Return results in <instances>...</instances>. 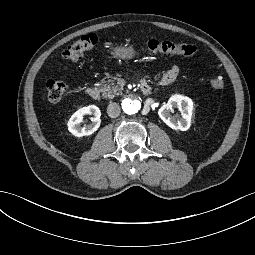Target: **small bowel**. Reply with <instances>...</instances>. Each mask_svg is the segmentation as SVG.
Instances as JSON below:
<instances>
[{
  "mask_svg": "<svg viewBox=\"0 0 255 255\" xmlns=\"http://www.w3.org/2000/svg\"><path fill=\"white\" fill-rule=\"evenodd\" d=\"M179 73V68L176 65H171L160 77L158 83L162 86H167L173 83Z\"/></svg>",
  "mask_w": 255,
  "mask_h": 255,
  "instance_id": "c3829d8e",
  "label": "small bowel"
}]
</instances>
